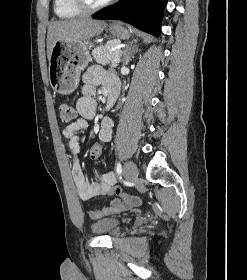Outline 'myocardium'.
I'll use <instances>...</instances> for the list:
<instances>
[{
    "mask_svg": "<svg viewBox=\"0 0 247 280\" xmlns=\"http://www.w3.org/2000/svg\"><path fill=\"white\" fill-rule=\"evenodd\" d=\"M73 4L82 12L91 13L101 10L110 5L114 0H106L96 5L88 3L86 0H72Z\"/></svg>",
    "mask_w": 247,
    "mask_h": 280,
    "instance_id": "myocardium-1",
    "label": "myocardium"
}]
</instances>
